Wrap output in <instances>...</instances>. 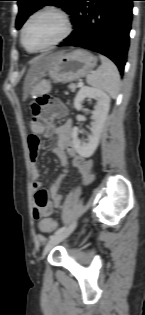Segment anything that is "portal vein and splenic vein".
Segmentation results:
<instances>
[{
  "label": "portal vein and splenic vein",
  "mask_w": 145,
  "mask_h": 315,
  "mask_svg": "<svg viewBox=\"0 0 145 315\" xmlns=\"http://www.w3.org/2000/svg\"><path fill=\"white\" fill-rule=\"evenodd\" d=\"M78 86H79V87L83 86V82H79V83H78Z\"/></svg>",
  "instance_id": "1"
}]
</instances>
